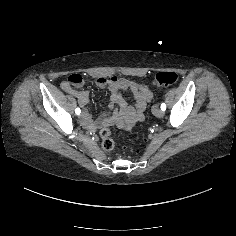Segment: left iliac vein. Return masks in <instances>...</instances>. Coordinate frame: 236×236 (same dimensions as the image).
Instances as JSON below:
<instances>
[{"instance_id": "left-iliac-vein-1", "label": "left iliac vein", "mask_w": 236, "mask_h": 236, "mask_svg": "<svg viewBox=\"0 0 236 236\" xmlns=\"http://www.w3.org/2000/svg\"><path fill=\"white\" fill-rule=\"evenodd\" d=\"M152 112L156 117H161L163 115V111L160 108H158L157 106H155L153 108Z\"/></svg>"}]
</instances>
